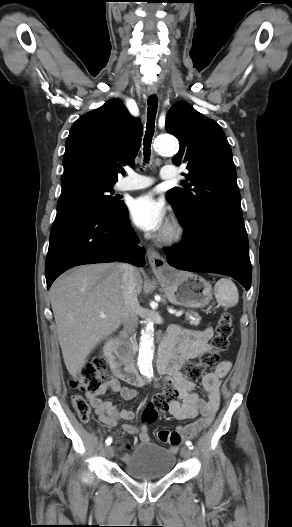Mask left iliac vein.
Masks as SVG:
<instances>
[{"mask_svg": "<svg viewBox=\"0 0 292 527\" xmlns=\"http://www.w3.org/2000/svg\"><path fill=\"white\" fill-rule=\"evenodd\" d=\"M181 456L185 459L189 458L191 456V450L188 447H183L181 449Z\"/></svg>", "mask_w": 292, "mask_h": 527, "instance_id": "4c4485c4", "label": "left iliac vein"}]
</instances>
